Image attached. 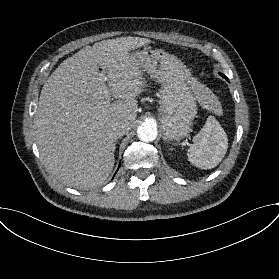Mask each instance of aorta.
Here are the masks:
<instances>
[{"mask_svg": "<svg viewBox=\"0 0 279 279\" xmlns=\"http://www.w3.org/2000/svg\"><path fill=\"white\" fill-rule=\"evenodd\" d=\"M157 134V127L153 122H143L137 129L138 138L144 142L154 141Z\"/></svg>", "mask_w": 279, "mask_h": 279, "instance_id": "762f6f07", "label": "aorta"}]
</instances>
